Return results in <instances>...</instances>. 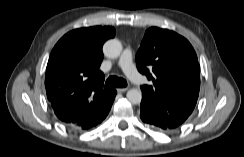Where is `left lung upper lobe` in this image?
Returning a JSON list of instances; mask_svg holds the SVG:
<instances>
[{"label":"left lung upper lobe","mask_w":244,"mask_h":157,"mask_svg":"<svg viewBox=\"0 0 244 157\" xmlns=\"http://www.w3.org/2000/svg\"><path fill=\"white\" fill-rule=\"evenodd\" d=\"M136 63L152 81L141 86L142 101L177 128L192 113L199 95L200 66L193 47L173 31L151 27L145 32Z\"/></svg>","instance_id":"1"}]
</instances>
